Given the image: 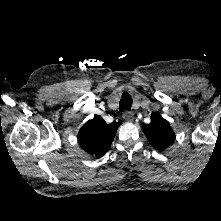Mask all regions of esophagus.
Wrapping results in <instances>:
<instances>
[{
    "label": "esophagus",
    "instance_id": "esophagus-1",
    "mask_svg": "<svg viewBox=\"0 0 221 221\" xmlns=\"http://www.w3.org/2000/svg\"><path fill=\"white\" fill-rule=\"evenodd\" d=\"M123 118L125 120V122L127 123H132L134 120V116L132 112L126 111L123 113Z\"/></svg>",
    "mask_w": 221,
    "mask_h": 221
}]
</instances>
